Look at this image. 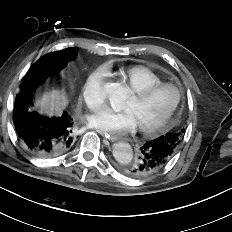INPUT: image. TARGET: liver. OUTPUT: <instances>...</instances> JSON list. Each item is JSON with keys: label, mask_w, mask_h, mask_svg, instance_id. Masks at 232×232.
Listing matches in <instances>:
<instances>
[{"label": "liver", "mask_w": 232, "mask_h": 232, "mask_svg": "<svg viewBox=\"0 0 232 232\" xmlns=\"http://www.w3.org/2000/svg\"><path fill=\"white\" fill-rule=\"evenodd\" d=\"M37 104L41 108V111L49 116L54 114L61 115L62 109L67 105V99L64 93L53 90L44 94Z\"/></svg>", "instance_id": "6515ba94"}]
</instances>
